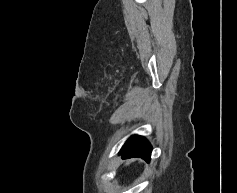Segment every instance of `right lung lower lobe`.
<instances>
[{
	"label": "right lung lower lobe",
	"instance_id": "obj_1",
	"mask_svg": "<svg viewBox=\"0 0 237 193\" xmlns=\"http://www.w3.org/2000/svg\"><path fill=\"white\" fill-rule=\"evenodd\" d=\"M151 150L149 142L144 137L135 135L127 140L120 154L122 158L142 157L149 162Z\"/></svg>",
	"mask_w": 237,
	"mask_h": 193
}]
</instances>
